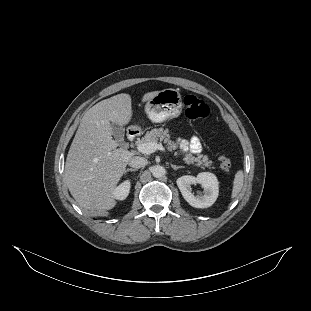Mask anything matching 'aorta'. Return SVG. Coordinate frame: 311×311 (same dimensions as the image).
Instances as JSON below:
<instances>
[{
  "label": "aorta",
  "instance_id": "762f6f07",
  "mask_svg": "<svg viewBox=\"0 0 311 311\" xmlns=\"http://www.w3.org/2000/svg\"><path fill=\"white\" fill-rule=\"evenodd\" d=\"M151 173H152L153 177L160 178V177H163L165 175L166 170L163 166L155 165L152 167Z\"/></svg>",
  "mask_w": 311,
  "mask_h": 311
}]
</instances>
